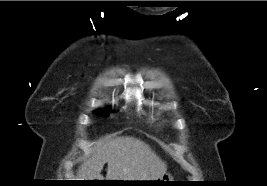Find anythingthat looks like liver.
<instances>
[{
	"label": "liver",
	"mask_w": 267,
	"mask_h": 186,
	"mask_svg": "<svg viewBox=\"0 0 267 186\" xmlns=\"http://www.w3.org/2000/svg\"><path fill=\"white\" fill-rule=\"evenodd\" d=\"M107 163L106 180L152 181L167 171L163 162L143 141L117 137L99 144L79 167V180H103L101 171Z\"/></svg>",
	"instance_id": "6515ba94"
}]
</instances>
